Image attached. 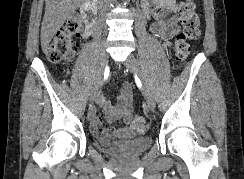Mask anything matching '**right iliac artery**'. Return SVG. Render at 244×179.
I'll return each mask as SVG.
<instances>
[{"label":"right iliac artery","mask_w":244,"mask_h":179,"mask_svg":"<svg viewBox=\"0 0 244 179\" xmlns=\"http://www.w3.org/2000/svg\"><path fill=\"white\" fill-rule=\"evenodd\" d=\"M107 69V68H106ZM106 69H105V71H106ZM108 73H109V69H108ZM104 75H105V73H104Z\"/></svg>","instance_id":"obj_1"}]
</instances>
